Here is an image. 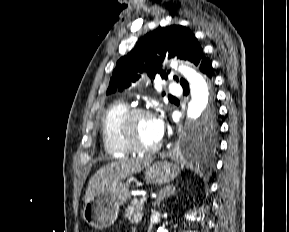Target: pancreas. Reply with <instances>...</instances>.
I'll list each match as a JSON object with an SVG mask.
<instances>
[{"label": "pancreas", "instance_id": "obj_1", "mask_svg": "<svg viewBox=\"0 0 289 232\" xmlns=\"http://www.w3.org/2000/svg\"><path fill=\"white\" fill-rule=\"evenodd\" d=\"M144 211V204L137 199H133L130 204L127 205L125 210V218L131 223H139L142 220Z\"/></svg>", "mask_w": 289, "mask_h": 232}]
</instances>
